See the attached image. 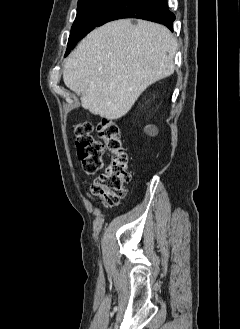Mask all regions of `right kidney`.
<instances>
[{
  "label": "right kidney",
  "instance_id": "right-kidney-1",
  "mask_svg": "<svg viewBox=\"0 0 240 329\" xmlns=\"http://www.w3.org/2000/svg\"><path fill=\"white\" fill-rule=\"evenodd\" d=\"M154 127L153 126H148L147 128H146V130L149 132V133H152L153 131H154Z\"/></svg>",
  "mask_w": 240,
  "mask_h": 329
}]
</instances>
